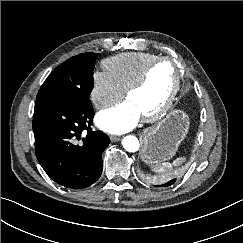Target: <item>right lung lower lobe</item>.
<instances>
[{
    "instance_id": "right-lung-lower-lobe-1",
    "label": "right lung lower lobe",
    "mask_w": 243,
    "mask_h": 243,
    "mask_svg": "<svg viewBox=\"0 0 243 243\" xmlns=\"http://www.w3.org/2000/svg\"><path fill=\"white\" fill-rule=\"evenodd\" d=\"M93 116L92 105L72 108L49 101L35 103L32 127L36 157L56 183L81 189L99 179L102 152L110 139L102 131H92Z\"/></svg>"
}]
</instances>
